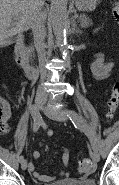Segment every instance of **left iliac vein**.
Returning a JSON list of instances; mask_svg holds the SVG:
<instances>
[{"label": "left iliac vein", "mask_w": 119, "mask_h": 185, "mask_svg": "<svg viewBox=\"0 0 119 185\" xmlns=\"http://www.w3.org/2000/svg\"><path fill=\"white\" fill-rule=\"evenodd\" d=\"M44 112L51 119L58 120V121H67L68 120L67 113L63 110H56V109H52V108L46 106V107H44ZM91 158L94 162H96V163L99 162L100 155H99V152L96 148H92Z\"/></svg>", "instance_id": "left-iliac-vein-1"}]
</instances>
